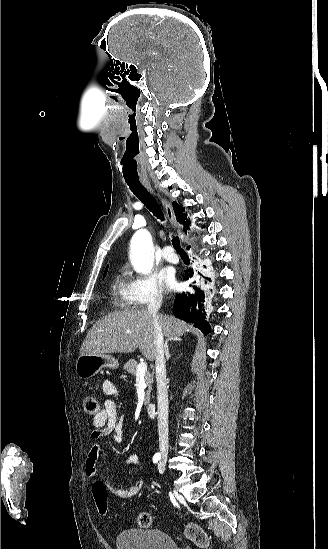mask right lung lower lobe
I'll return each instance as SVG.
<instances>
[{"mask_svg":"<svg viewBox=\"0 0 328 549\" xmlns=\"http://www.w3.org/2000/svg\"><path fill=\"white\" fill-rule=\"evenodd\" d=\"M193 278V272L189 271L185 275V280ZM211 281V279H209ZM194 291L177 295L174 300L175 315L183 318L187 322L194 323L204 334L211 331L210 325L205 321L206 312L202 313L201 307L204 306L205 294L197 283L193 286ZM197 308L199 311H197Z\"/></svg>","mask_w":328,"mask_h":549,"instance_id":"right-lung-lower-lobe-1","label":"right lung lower lobe"}]
</instances>
